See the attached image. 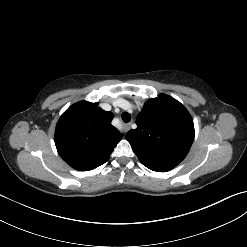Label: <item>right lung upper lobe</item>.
I'll return each mask as SVG.
<instances>
[{
	"label": "right lung upper lobe",
	"instance_id": "cb5924a9",
	"mask_svg": "<svg viewBox=\"0 0 247 247\" xmlns=\"http://www.w3.org/2000/svg\"><path fill=\"white\" fill-rule=\"evenodd\" d=\"M113 114L98 103L81 101L60 117L55 130L59 155L72 168L89 171L109 160L116 144L122 139L111 125Z\"/></svg>",
	"mask_w": 247,
	"mask_h": 247
}]
</instances>
